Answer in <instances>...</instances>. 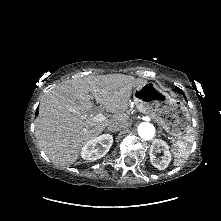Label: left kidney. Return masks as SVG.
Here are the masks:
<instances>
[{"label": "left kidney", "instance_id": "5707ae66", "mask_svg": "<svg viewBox=\"0 0 221 221\" xmlns=\"http://www.w3.org/2000/svg\"><path fill=\"white\" fill-rule=\"evenodd\" d=\"M158 152H163V156L161 160L156 157ZM150 160L154 167L158 168L159 170H164L168 167L171 161V154L169 151V146L167 143L161 139H156L150 148Z\"/></svg>", "mask_w": 221, "mask_h": 221}]
</instances>
